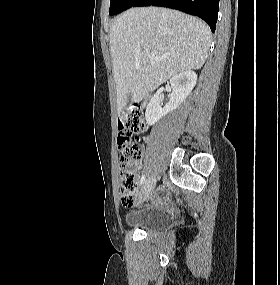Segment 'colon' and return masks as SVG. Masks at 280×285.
<instances>
[{
	"label": "colon",
	"mask_w": 280,
	"mask_h": 285,
	"mask_svg": "<svg viewBox=\"0 0 280 285\" xmlns=\"http://www.w3.org/2000/svg\"><path fill=\"white\" fill-rule=\"evenodd\" d=\"M145 129V119L139 109L131 108L121 114L118 122V148L120 198L124 206H132L136 199L137 179L131 171V163L141 158V141Z\"/></svg>",
	"instance_id": "1"
}]
</instances>
